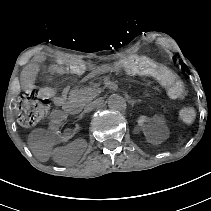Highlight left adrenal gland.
I'll return each instance as SVG.
<instances>
[{
	"label": "left adrenal gland",
	"mask_w": 211,
	"mask_h": 211,
	"mask_svg": "<svg viewBox=\"0 0 211 211\" xmlns=\"http://www.w3.org/2000/svg\"><path fill=\"white\" fill-rule=\"evenodd\" d=\"M141 100H133V101H131V105L132 106H134V104L136 103V102H140Z\"/></svg>",
	"instance_id": "left-adrenal-gland-1"
}]
</instances>
